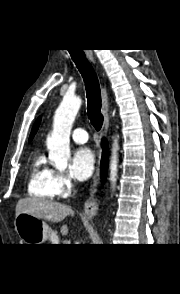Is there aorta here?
<instances>
[{
  "mask_svg": "<svg viewBox=\"0 0 180 294\" xmlns=\"http://www.w3.org/2000/svg\"><path fill=\"white\" fill-rule=\"evenodd\" d=\"M82 100L78 96L64 97L57 108L53 130L47 138L49 159L57 169H65L68 165L70 155V133L75 117L80 109ZM110 182L114 189L117 181L118 171V139L115 138L112 147V156L109 164Z\"/></svg>",
  "mask_w": 180,
  "mask_h": 294,
  "instance_id": "1",
  "label": "aorta"
}]
</instances>
